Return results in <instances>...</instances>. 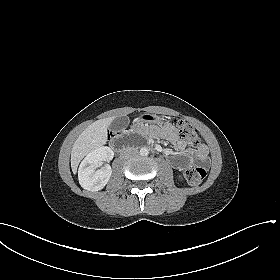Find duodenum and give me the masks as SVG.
<instances>
[{"label": "duodenum", "instance_id": "1", "mask_svg": "<svg viewBox=\"0 0 280 280\" xmlns=\"http://www.w3.org/2000/svg\"><path fill=\"white\" fill-rule=\"evenodd\" d=\"M112 146L115 148V149H121L122 148V142L120 140V138H116L114 140V142L112 143Z\"/></svg>", "mask_w": 280, "mask_h": 280}]
</instances>
